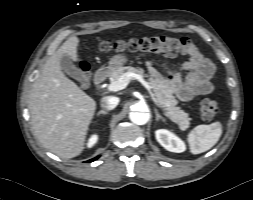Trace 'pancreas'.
I'll use <instances>...</instances> for the list:
<instances>
[{"label": "pancreas", "instance_id": "obj_1", "mask_svg": "<svg viewBox=\"0 0 253 200\" xmlns=\"http://www.w3.org/2000/svg\"><path fill=\"white\" fill-rule=\"evenodd\" d=\"M128 72H133L148 78V83L153 89L154 96L157 99L160 107L165 111V114L175 123L181 130L189 127V117L180 107H177V100L172 94L169 83L155 69H150L148 74H145L143 68H134L131 66L119 67L111 71L110 81H117L122 75Z\"/></svg>", "mask_w": 253, "mask_h": 200}]
</instances>
